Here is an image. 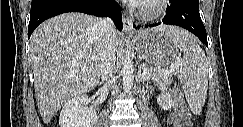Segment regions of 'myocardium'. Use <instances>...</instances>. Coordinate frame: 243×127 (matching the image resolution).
Instances as JSON below:
<instances>
[{
  "label": "myocardium",
  "instance_id": "obj_1",
  "mask_svg": "<svg viewBox=\"0 0 243 127\" xmlns=\"http://www.w3.org/2000/svg\"><path fill=\"white\" fill-rule=\"evenodd\" d=\"M167 0H147L138 7V14L146 20L159 17L166 9Z\"/></svg>",
  "mask_w": 243,
  "mask_h": 127
}]
</instances>
